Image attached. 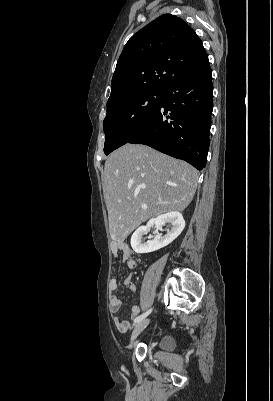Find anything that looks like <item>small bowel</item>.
<instances>
[{"label": "small bowel", "mask_w": 273, "mask_h": 401, "mask_svg": "<svg viewBox=\"0 0 273 401\" xmlns=\"http://www.w3.org/2000/svg\"><path fill=\"white\" fill-rule=\"evenodd\" d=\"M112 253L114 259L119 257L121 254V258L123 262L126 263L128 268H134L136 266V261L132 257V250L130 246L125 242H114L112 244ZM125 287L129 289L134 284V289H129L132 292L137 290L136 284L134 283L132 278H125L123 281ZM119 289V282L115 276H112L109 280V290L111 292L110 297V311L113 314H116L120 311L122 306L121 299L116 295V292ZM142 302L143 304H154L155 297L154 295H147V292H142ZM142 309L140 306H133L130 311V318L132 321L137 320L141 316ZM113 325L115 329L121 333H126L132 329V324L125 319H121L117 316L113 318Z\"/></svg>", "instance_id": "c3829d8e"}]
</instances>
